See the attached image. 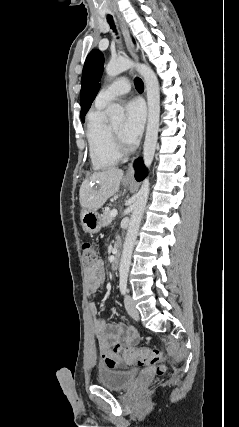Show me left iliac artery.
Listing matches in <instances>:
<instances>
[{"instance_id":"44dca946","label":"left iliac artery","mask_w":239,"mask_h":427,"mask_svg":"<svg viewBox=\"0 0 239 427\" xmlns=\"http://www.w3.org/2000/svg\"><path fill=\"white\" fill-rule=\"evenodd\" d=\"M120 291L121 293L124 295L128 290H127V276L126 275H122L120 277Z\"/></svg>"}]
</instances>
